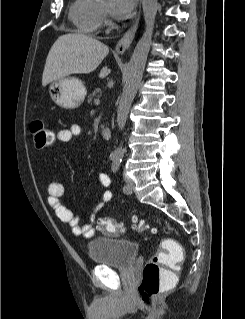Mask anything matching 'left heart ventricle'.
Instances as JSON below:
<instances>
[{
  "label": "left heart ventricle",
  "instance_id": "1",
  "mask_svg": "<svg viewBox=\"0 0 245 319\" xmlns=\"http://www.w3.org/2000/svg\"><path fill=\"white\" fill-rule=\"evenodd\" d=\"M105 6L110 8L112 6V1L105 2Z\"/></svg>",
  "mask_w": 245,
  "mask_h": 319
}]
</instances>
